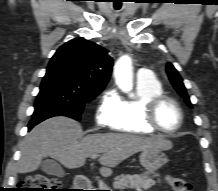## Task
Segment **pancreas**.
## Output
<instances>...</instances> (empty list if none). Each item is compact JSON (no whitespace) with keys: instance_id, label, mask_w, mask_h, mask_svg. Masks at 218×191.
Returning a JSON list of instances; mask_svg holds the SVG:
<instances>
[{"instance_id":"1","label":"pancreas","mask_w":218,"mask_h":191,"mask_svg":"<svg viewBox=\"0 0 218 191\" xmlns=\"http://www.w3.org/2000/svg\"><path fill=\"white\" fill-rule=\"evenodd\" d=\"M155 185V181L148 173L141 175H120L115 178L113 186L116 189H134L136 191H143L150 189Z\"/></svg>"}]
</instances>
